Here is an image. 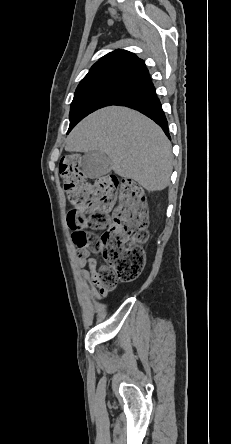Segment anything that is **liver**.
Returning <instances> with one entry per match:
<instances>
[{"label": "liver", "mask_w": 231, "mask_h": 444, "mask_svg": "<svg viewBox=\"0 0 231 444\" xmlns=\"http://www.w3.org/2000/svg\"><path fill=\"white\" fill-rule=\"evenodd\" d=\"M65 150L101 151L117 175L148 191L163 190L170 183V141L151 119L127 107L109 106L87 116L67 137Z\"/></svg>", "instance_id": "1"}]
</instances>
